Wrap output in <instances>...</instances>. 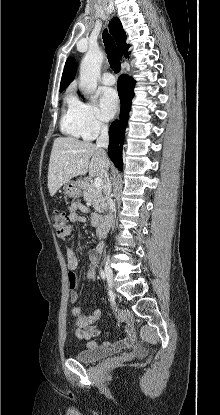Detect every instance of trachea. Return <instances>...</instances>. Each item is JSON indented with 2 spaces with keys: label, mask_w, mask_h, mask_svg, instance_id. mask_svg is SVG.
I'll return each instance as SVG.
<instances>
[{
  "label": "trachea",
  "mask_w": 220,
  "mask_h": 415,
  "mask_svg": "<svg viewBox=\"0 0 220 415\" xmlns=\"http://www.w3.org/2000/svg\"><path fill=\"white\" fill-rule=\"evenodd\" d=\"M103 41L107 51L108 62L115 73L120 72V59L117 52L116 44L107 30L103 32Z\"/></svg>",
  "instance_id": "trachea-1"
}]
</instances>
